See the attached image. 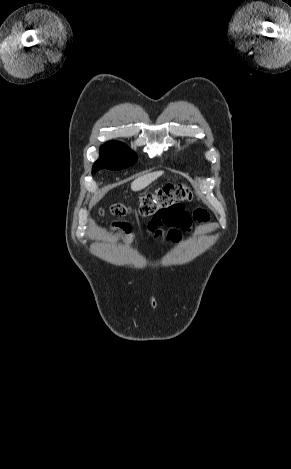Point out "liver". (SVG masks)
Masks as SVG:
<instances>
[{"instance_id":"6515ba94","label":"liver","mask_w":291,"mask_h":469,"mask_svg":"<svg viewBox=\"0 0 291 469\" xmlns=\"http://www.w3.org/2000/svg\"><path fill=\"white\" fill-rule=\"evenodd\" d=\"M162 174L163 171H157L138 177L131 183V189L133 191H140L155 181L157 178L162 176Z\"/></svg>"}]
</instances>
